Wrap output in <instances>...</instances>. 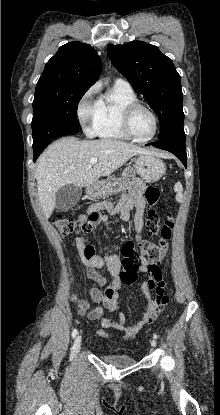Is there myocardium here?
<instances>
[{
    "label": "myocardium",
    "instance_id": "f54148a6",
    "mask_svg": "<svg viewBox=\"0 0 220 415\" xmlns=\"http://www.w3.org/2000/svg\"><path fill=\"white\" fill-rule=\"evenodd\" d=\"M139 108L144 109L147 112H149L154 121L153 133L149 137L144 138V139L135 137L130 129L131 116L134 113V111ZM120 126H121L123 133L128 137V139L133 140L138 143H146L152 140L157 135L158 130H159V120H158L157 114L151 107L141 102L133 101L131 103H128L122 108L121 113H120Z\"/></svg>",
    "mask_w": 220,
    "mask_h": 415
}]
</instances>
